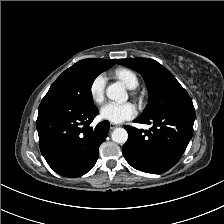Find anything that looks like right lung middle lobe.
<instances>
[{"mask_svg":"<svg viewBox=\"0 0 224 224\" xmlns=\"http://www.w3.org/2000/svg\"><path fill=\"white\" fill-rule=\"evenodd\" d=\"M107 69L90 59L80 60L56 79L45 97L59 99L78 108H95L91 86L95 78Z\"/></svg>","mask_w":224,"mask_h":224,"instance_id":"right-lung-middle-lobe-1","label":"right lung middle lobe"}]
</instances>
